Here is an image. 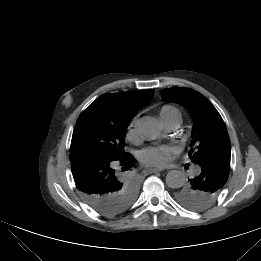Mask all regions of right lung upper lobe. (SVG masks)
I'll list each match as a JSON object with an SVG mask.
<instances>
[{
  "label": "right lung upper lobe",
  "mask_w": 261,
  "mask_h": 261,
  "mask_svg": "<svg viewBox=\"0 0 261 261\" xmlns=\"http://www.w3.org/2000/svg\"><path fill=\"white\" fill-rule=\"evenodd\" d=\"M153 95L154 90L103 94L92 105L99 106L111 116L130 123L135 113L146 105Z\"/></svg>",
  "instance_id": "cb5924a9"
}]
</instances>
